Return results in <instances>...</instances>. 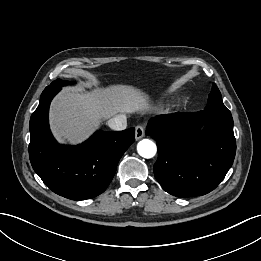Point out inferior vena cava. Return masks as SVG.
<instances>
[{
    "instance_id": "1",
    "label": "inferior vena cava",
    "mask_w": 261,
    "mask_h": 261,
    "mask_svg": "<svg viewBox=\"0 0 261 261\" xmlns=\"http://www.w3.org/2000/svg\"><path fill=\"white\" fill-rule=\"evenodd\" d=\"M108 126L115 131L125 130L127 127V118L123 114L116 115L108 120Z\"/></svg>"
}]
</instances>
